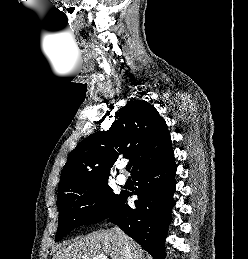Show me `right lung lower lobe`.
<instances>
[{"label": "right lung lower lobe", "mask_w": 248, "mask_h": 259, "mask_svg": "<svg viewBox=\"0 0 248 259\" xmlns=\"http://www.w3.org/2000/svg\"><path fill=\"white\" fill-rule=\"evenodd\" d=\"M176 165L174 152L140 167L132 174L138 186L135 207L126 204L128 193H123L116 213L110 221L138 242L154 259H165V239L175 205Z\"/></svg>", "instance_id": "1"}]
</instances>
